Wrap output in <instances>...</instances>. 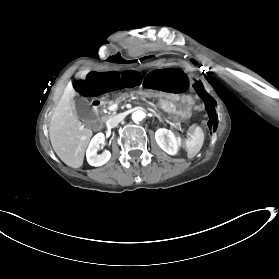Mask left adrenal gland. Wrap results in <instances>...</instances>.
Returning a JSON list of instances; mask_svg holds the SVG:
<instances>
[{"instance_id":"obj_1","label":"left adrenal gland","mask_w":279,"mask_h":279,"mask_svg":"<svg viewBox=\"0 0 279 279\" xmlns=\"http://www.w3.org/2000/svg\"><path fill=\"white\" fill-rule=\"evenodd\" d=\"M156 116H157V117L159 118V120L161 121L160 115H159V114H157Z\"/></svg>"}]
</instances>
